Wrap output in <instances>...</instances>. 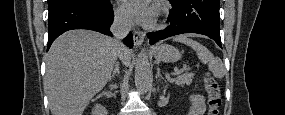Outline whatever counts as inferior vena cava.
Returning <instances> with one entry per match:
<instances>
[{
  "mask_svg": "<svg viewBox=\"0 0 285 115\" xmlns=\"http://www.w3.org/2000/svg\"><path fill=\"white\" fill-rule=\"evenodd\" d=\"M132 20L131 18L126 14H116L114 17L113 24L111 25V32L114 35L111 40L114 42V44L118 48H122L123 45L121 43V40L127 36V34L130 32L132 27Z\"/></svg>",
  "mask_w": 285,
  "mask_h": 115,
  "instance_id": "inferior-vena-cava-1",
  "label": "inferior vena cava"
}]
</instances>
